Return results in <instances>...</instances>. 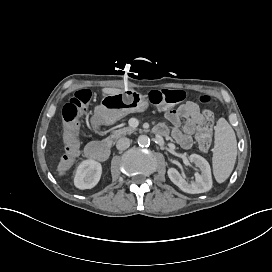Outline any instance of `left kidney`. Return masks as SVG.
I'll return each mask as SVG.
<instances>
[{
    "mask_svg": "<svg viewBox=\"0 0 272 272\" xmlns=\"http://www.w3.org/2000/svg\"><path fill=\"white\" fill-rule=\"evenodd\" d=\"M190 160L195 166L199 167L201 171V175L198 173L195 174L196 183H188L179 172L173 168L168 170L169 178L186 193L196 194L209 191L212 188L213 181L211 167L208 161L198 154H191Z\"/></svg>",
    "mask_w": 272,
    "mask_h": 272,
    "instance_id": "1",
    "label": "left kidney"
}]
</instances>
